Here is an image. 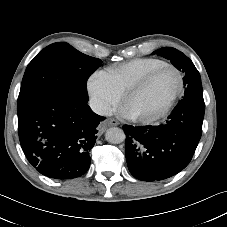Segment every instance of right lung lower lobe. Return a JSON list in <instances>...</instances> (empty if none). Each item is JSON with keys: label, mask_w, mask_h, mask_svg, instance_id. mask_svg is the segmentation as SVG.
<instances>
[{"label": "right lung lower lobe", "mask_w": 227, "mask_h": 227, "mask_svg": "<svg viewBox=\"0 0 227 227\" xmlns=\"http://www.w3.org/2000/svg\"><path fill=\"white\" fill-rule=\"evenodd\" d=\"M103 119L85 101L63 95L39 97L18 109L22 150L31 165L47 177H79L90 166L89 152Z\"/></svg>", "instance_id": "1"}]
</instances>
